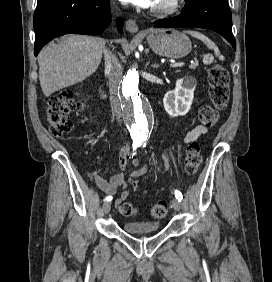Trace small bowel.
Wrapping results in <instances>:
<instances>
[{"label":"small bowel","mask_w":272,"mask_h":282,"mask_svg":"<svg viewBox=\"0 0 272 282\" xmlns=\"http://www.w3.org/2000/svg\"><path fill=\"white\" fill-rule=\"evenodd\" d=\"M206 132H207L206 126H196L186 134L184 138V142L191 143L197 140L201 135H203ZM129 163L137 167L140 164L139 160L136 158L134 153H132L130 151V148L127 146L120 151L119 165L121 168L125 169ZM168 169L169 166L167 163H165L164 171L166 172ZM147 172H148V167L146 165L139 166L138 168H136L131 172V178L135 180L134 182L129 181V185L133 190H136L139 187V183L136 180V178L146 174ZM93 180L95 184L99 187V189L108 195L115 194L119 186H124V175L122 173L113 175L109 179H104L99 175H94ZM129 195H130V191L126 188V186H124V190L122 191L120 197L115 200V205L119 207L121 203L126 201Z\"/></svg>","instance_id":"1"}]
</instances>
